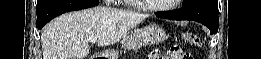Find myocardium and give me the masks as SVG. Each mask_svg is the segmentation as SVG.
Listing matches in <instances>:
<instances>
[{"mask_svg":"<svg viewBox=\"0 0 261 59\" xmlns=\"http://www.w3.org/2000/svg\"><path fill=\"white\" fill-rule=\"evenodd\" d=\"M181 0H174L173 3L166 6H155L144 1H137V4L144 10L152 12H165L174 9Z\"/></svg>","mask_w":261,"mask_h":59,"instance_id":"f54148a6","label":"myocardium"}]
</instances>
